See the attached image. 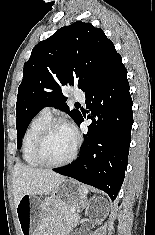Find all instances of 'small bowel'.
I'll use <instances>...</instances> for the list:
<instances>
[{"instance_id":"obj_1","label":"small bowel","mask_w":155,"mask_h":235,"mask_svg":"<svg viewBox=\"0 0 155 235\" xmlns=\"http://www.w3.org/2000/svg\"><path fill=\"white\" fill-rule=\"evenodd\" d=\"M58 235H66V233L62 232V233H59Z\"/></svg>"}]
</instances>
